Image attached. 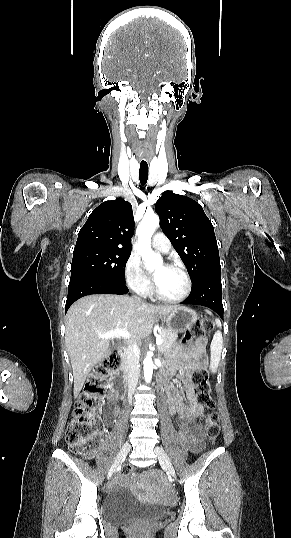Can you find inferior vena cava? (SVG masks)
<instances>
[{
    "mask_svg": "<svg viewBox=\"0 0 291 538\" xmlns=\"http://www.w3.org/2000/svg\"><path fill=\"white\" fill-rule=\"evenodd\" d=\"M137 301L144 303L139 298H136ZM139 348L137 344H129L127 348V360H128V398L131 402L132 395L134 393V390L137 386L138 379H139V360L138 355Z\"/></svg>",
    "mask_w": 291,
    "mask_h": 538,
    "instance_id": "inferior-vena-cava-1",
    "label": "inferior vena cava"
}]
</instances>
